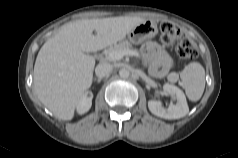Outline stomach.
<instances>
[{
  "label": "stomach",
  "instance_id": "0dacf381",
  "mask_svg": "<svg viewBox=\"0 0 238 158\" xmlns=\"http://www.w3.org/2000/svg\"><path fill=\"white\" fill-rule=\"evenodd\" d=\"M158 33L156 22L145 20L135 26L128 34V40L133 44H140L143 41L153 38Z\"/></svg>",
  "mask_w": 238,
  "mask_h": 158
}]
</instances>
